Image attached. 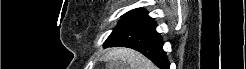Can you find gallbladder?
I'll return each mask as SVG.
<instances>
[{
	"label": "gallbladder",
	"mask_w": 246,
	"mask_h": 69,
	"mask_svg": "<svg viewBox=\"0 0 246 69\" xmlns=\"http://www.w3.org/2000/svg\"><path fill=\"white\" fill-rule=\"evenodd\" d=\"M106 69H116L115 65H111V61L106 64Z\"/></svg>",
	"instance_id": "1"
}]
</instances>
